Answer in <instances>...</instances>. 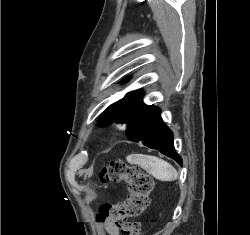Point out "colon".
<instances>
[{"label":"colon","instance_id":"colon-1","mask_svg":"<svg viewBox=\"0 0 250 235\" xmlns=\"http://www.w3.org/2000/svg\"><path fill=\"white\" fill-rule=\"evenodd\" d=\"M99 179L104 184L123 182L127 197L123 203L103 204L97 214L98 222L117 226L121 235H140L141 225L135 218L149 205V196L153 189L151 176L137 167L118 160L105 166Z\"/></svg>","mask_w":250,"mask_h":235}]
</instances>
